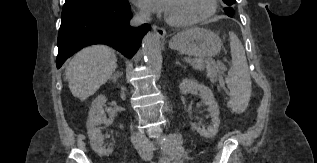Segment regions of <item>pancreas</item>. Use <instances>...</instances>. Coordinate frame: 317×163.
Instances as JSON below:
<instances>
[{
  "label": "pancreas",
  "mask_w": 317,
  "mask_h": 163,
  "mask_svg": "<svg viewBox=\"0 0 317 163\" xmlns=\"http://www.w3.org/2000/svg\"><path fill=\"white\" fill-rule=\"evenodd\" d=\"M189 62L193 65V68L196 70H206L208 78L211 80V82H216L220 79V71L217 66L205 63L204 61L192 58L189 59Z\"/></svg>",
  "instance_id": "1"
}]
</instances>
